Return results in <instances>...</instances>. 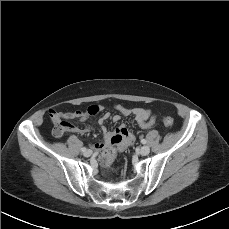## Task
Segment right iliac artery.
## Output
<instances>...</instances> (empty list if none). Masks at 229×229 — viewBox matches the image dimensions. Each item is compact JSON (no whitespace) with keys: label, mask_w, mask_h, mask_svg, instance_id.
I'll return each mask as SVG.
<instances>
[{"label":"right iliac artery","mask_w":229,"mask_h":229,"mask_svg":"<svg viewBox=\"0 0 229 229\" xmlns=\"http://www.w3.org/2000/svg\"><path fill=\"white\" fill-rule=\"evenodd\" d=\"M86 150H87L86 147L81 148V151H82V152H85Z\"/></svg>","instance_id":"1"}]
</instances>
